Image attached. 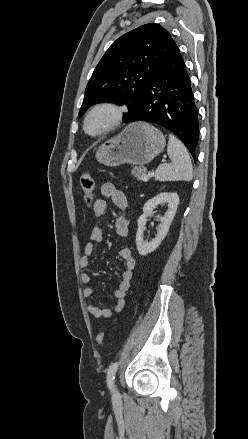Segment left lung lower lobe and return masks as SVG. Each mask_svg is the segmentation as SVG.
Returning a JSON list of instances; mask_svg holds the SVG:
<instances>
[{"label":"left lung lower lobe","mask_w":248,"mask_h":439,"mask_svg":"<svg viewBox=\"0 0 248 439\" xmlns=\"http://www.w3.org/2000/svg\"><path fill=\"white\" fill-rule=\"evenodd\" d=\"M135 121L152 122L170 130L196 159L198 111L191 81L177 46L149 83L139 106L125 123Z\"/></svg>","instance_id":"left-lung-lower-lobe-1"}]
</instances>
